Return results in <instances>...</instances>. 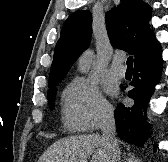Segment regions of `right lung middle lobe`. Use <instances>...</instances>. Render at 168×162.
Here are the masks:
<instances>
[{
    "label": "right lung middle lobe",
    "mask_w": 168,
    "mask_h": 162,
    "mask_svg": "<svg viewBox=\"0 0 168 162\" xmlns=\"http://www.w3.org/2000/svg\"><path fill=\"white\" fill-rule=\"evenodd\" d=\"M59 82H61V81H57V82H54V83L48 85V87H49L48 103H49L50 110L54 109L56 92H57L56 86L59 84Z\"/></svg>",
    "instance_id": "right-lung-middle-lobe-1"
}]
</instances>
